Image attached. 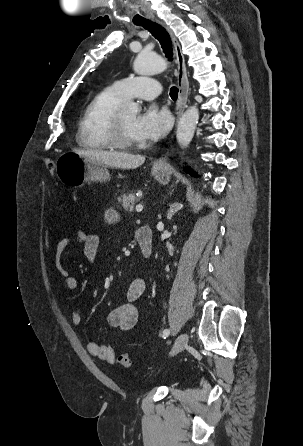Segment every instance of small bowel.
<instances>
[{
  "mask_svg": "<svg viewBox=\"0 0 303 446\" xmlns=\"http://www.w3.org/2000/svg\"><path fill=\"white\" fill-rule=\"evenodd\" d=\"M106 219L109 223H114L118 219L117 213L109 211L106 214ZM72 244H81L86 259L89 262H93L99 250L100 237L79 229L72 236L62 238L56 245L55 267L59 275L64 279L66 289L71 291L78 288L79 281L69 274V271L61 262V256ZM145 288L146 282L143 278L139 277L131 282L127 291L128 302L114 308L108 315V322L111 326L122 331H129L135 327L138 321V310L135 306V301L143 294ZM71 318L74 325L80 324L81 316L78 312L73 311ZM86 349L90 355L102 361L110 364L115 362V351L108 345L88 341Z\"/></svg>",
  "mask_w": 303,
  "mask_h": 446,
  "instance_id": "1",
  "label": "small bowel"
}]
</instances>
